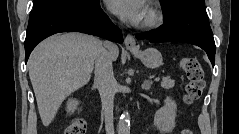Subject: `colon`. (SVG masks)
I'll list each match as a JSON object with an SVG mask.
<instances>
[{
  "label": "colon",
  "mask_w": 239,
  "mask_h": 134,
  "mask_svg": "<svg viewBox=\"0 0 239 134\" xmlns=\"http://www.w3.org/2000/svg\"><path fill=\"white\" fill-rule=\"evenodd\" d=\"M180 66L188 78L183 100L186 104H191L201 97L205 89L204 70L201 63L193 57H183ZM86 130L85 120L76 119L65 129L64 134H85ZM181 133L191 134V131L184 129Z\"/></svg>",
  "instance_id": "obj_1"
}]
</instances>
